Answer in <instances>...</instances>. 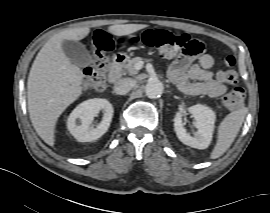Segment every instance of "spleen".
Segmentation results:
<instances>
[{"label": "spleen", "mask_w": 270, "mask_h": 213, "mask_svg": "<svg viewBox=\"0 0 270 213\" xmlns=\"http://www.w3.org/2000/svg\"><path fill=\"white\" fill-rule=\"evenodd\" d=\"M246 109L242 108L228 114L218 127L217 142L210 158L216 159L223 155L235 140L244 118Z\"/></svg>", "instance_id": "spleen-1"}]
</instances>
